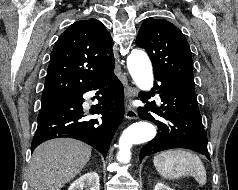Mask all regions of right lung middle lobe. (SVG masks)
Segmentation results:
<instances>
[{
    "label": "right lung middle lobe",
    "instance_id": "dd1d6c3e",
    "mask_svg": "<svg viewBox=\"0 0 238 190\" xmlns=\"http://www.w3.org/2000/svg\"><path fill=\"white\" fill-rule=\"evenodd\" d=\"M57 103H60V102H56V103H42L41 104V108H44V107H47V106H50V105H54V104H57Z\"/></svg>",
    "mask_w": 238,
    "mask_h": 190
}]
</instances>
